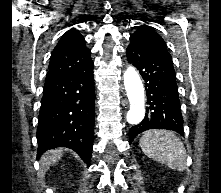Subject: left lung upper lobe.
I'll return each instance as SVG.
<instances>
[{
    "mask_svg": "<svg viewBox=\"0 0 221 193\" xmlns=\"http://www.w3.org/2000/svg\"><path fill=\"white\" fill-rule=\"evenodd\" d=\"M131 43L139 45L143 49L150 51L158 56L171 59L167 51L166 43L154 28L142 25L130 36Z\"/></svg>",
    "mask_w": 221,
    "mask_h": 193,
    "instance_id": "5c2ea615",
    "label": "left lung upper lobe"
}]
</instances>
